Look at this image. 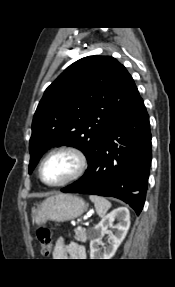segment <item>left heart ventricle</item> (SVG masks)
<instances>
[{
	"label": "left heart ventricle",
	"mask_w": 175,
	"mask_h": 287,
	"mask_svg": "<svg viewBox=\"0 0 175 287\" xmlns=\"http://www.w3.org/2000/svg\"><path fill=\"white\" fill-rule=\"evenodd\" d=\"M77 168V161L70 153H57L43 166V178L48 183H58L68 178Z\"/></svg>",
	"instance_id": "obj_1"
}]
</instances>
